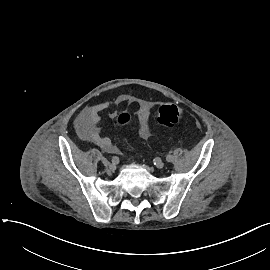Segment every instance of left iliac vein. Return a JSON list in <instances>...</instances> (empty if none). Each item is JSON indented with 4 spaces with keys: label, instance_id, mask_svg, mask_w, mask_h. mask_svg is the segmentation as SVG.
Wrapping results in <instances>:
<instances>
[{
    "label": "left iliac vein",
    "instance_id": "left-iliac-vein-1",
    "mask_svg": "<svg viewBox=\"0 0 270 270\" xmlns=\"http://www.w3.org/2000/svg\"><path fill=\"white\" fill-rule=\"evenodd\" d=\"M164 165H165L164 162L159 161V162L156 163V168L162 169L164 167Z\"/></svg>",
    "mask_w": 270,
    "mask_h": 270
}]
</instances>
